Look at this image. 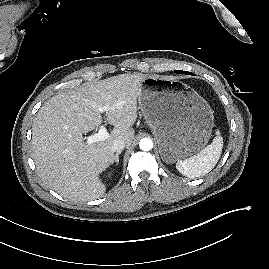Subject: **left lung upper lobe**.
<instances>
[{
  "label": "left lung upper lobe",
  "instance_id": "obj_1",
  "mask_svg": "<svg viewBox=\"0 0 269 269\" xmlns=\"http://www.w3.org/2000/svg\"><path fill=\"white\" fill-rule=\"evenodd\" d=\"M177 74H186V75H190V74H192V73H190V72H187V71H179V70H177V71H175Z\"/></svg>",
  "mask_w": 269,
  "mask_h": 269
}]
</instances>
